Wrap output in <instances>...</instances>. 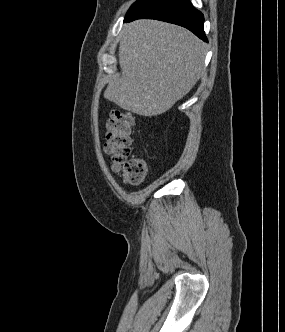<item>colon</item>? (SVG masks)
I'll use <instances>...</instances> for the list:
<instances>
[{"mask_svg":"<svg viewBox=\"0 0 285 332\" xmlns=\"http://www.w3.org/2000/svg\"><path fill=\"white\" fill-rule=\"evenodd\" d=\"M135 117L131 112L115 109L107 121V135L104 151L110 158L112 168L125 183L140 184L147 173L144 159L131 156L132 129Z\"/></svg>","mask_w":285,"mask_h":332,"instance_id":"colon-1","label":"colon"}]
</instances>
